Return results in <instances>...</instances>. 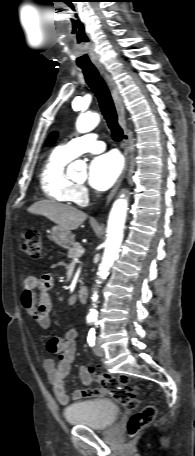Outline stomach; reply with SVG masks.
<instances>
[{
    "label": "stomach",
    "instance_id": "1",
    "mask_svg": "<svg viewBox=\"0 0 195 456\" xmlns=\"http://www.w3.org/2000/svg\"><path fill=\"white\" fill-rule=\"evenodd\" d=\"M50 237L59 246L69 248L74 243V235L60 226L51 228Z\"/></svg>",
    "mask_w": 195,
    "mask_h": 456
}]
</instances>
